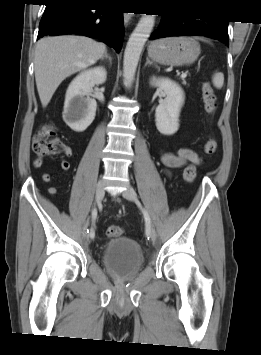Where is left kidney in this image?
Instances as JSON below:
<instances>
[{
	"label": "left kidney",
	"instance_id": "1",
	"mask_svg": "<svg viewBox=\"0 0 261 355\" xmlns=\"http://www.w3.org/2000/svg\"><path fill=\"white\" fill-rule=\"evenodd\" d=\"M150 84L162 89L166 95L155 111L158 131L163 135H173L179 128V115L184 103V92L175 82L167 78L151 79Z\"/></svg>",
	"mask_w": 261,
	"mask_h": 355
}]
</instances>
